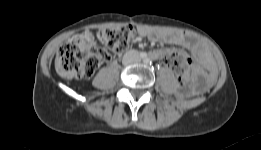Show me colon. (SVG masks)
<instances>
[{"label":"colon","instance_id":"colon-1","mask_svg":"<svg viewBox=\"0 0 261 150\" xmlns=\"http://www.w3.org/2000/svg\"><path fill=\"white\" fill-rule=\"evenodd\" d=\"M138 36L132 25L108 28L92 35L104 43V48L92 44L86 37L76 35L65 42L58 50L55 59L57 74L65 79H87L93 75L109 53H124ZM173 69L182 82L190 78L191 60L185 54L169 51L162 60Z\"/></svg>","mask_w":261,"mask_h":150}]
</instances>
